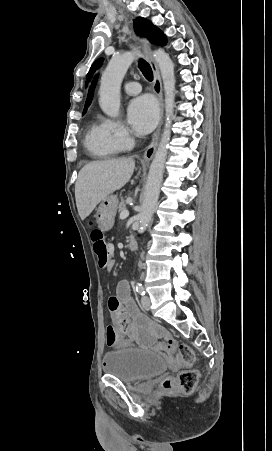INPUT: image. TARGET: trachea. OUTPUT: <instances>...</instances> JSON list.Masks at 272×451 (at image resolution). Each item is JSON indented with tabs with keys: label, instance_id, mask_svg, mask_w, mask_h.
Listing matches in <instances>:
<instances>
[{
	"label": "trachea",
	"instance_id": "1",
	"mask_svg": "<svg viewBox=\"0 0 272 451\" xmlns=\"http://www.w3.org/2000/svg\"><path fill=\"white\" fill-rule=\"evenodd\" d=\"M139 67L141 72L143 73L144 77L149 80L152 81L153 80V72H152V68L149 65V63H147L145 60H139Z\"/></svg>",
	"mask_w": 272,
	"mask_h": 451
}]
</instances>
